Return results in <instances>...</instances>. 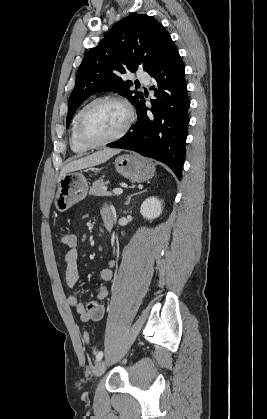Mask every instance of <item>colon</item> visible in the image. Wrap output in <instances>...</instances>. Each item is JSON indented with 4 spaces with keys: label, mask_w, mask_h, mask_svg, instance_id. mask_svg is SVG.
<instances>
[{
    "label": "colon",
    "mask_w": 267,
    "mask_h": 419,
    "mask_svg": "<svg viewBox=\"0 0 267 419\" xmlns=\"http://www.w3.org/2000/svg\"><path fill=\"white\" fill-rule=\"evenodd\" d=\"M62 243L67 247H73L76 245V238L72 233H66L62 236ZM83 340L85 343L90 342V334L89 332H83Z\"/></svg>",
    "instance_id": "colon-1"
}]
</instances>
